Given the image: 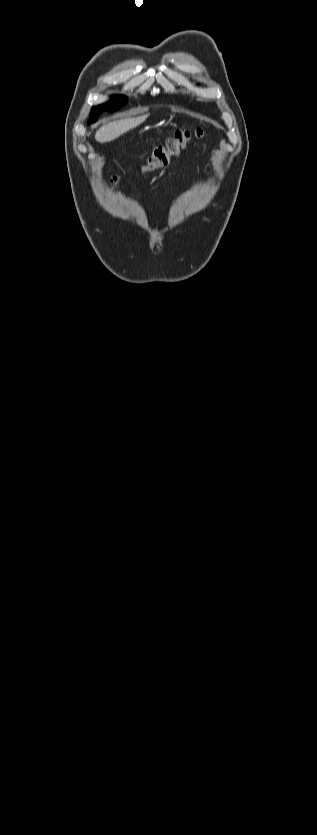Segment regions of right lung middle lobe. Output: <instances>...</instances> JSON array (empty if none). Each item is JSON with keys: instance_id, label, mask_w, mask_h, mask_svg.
Here are the masks:
<instances>
[{"instance_id": "right-lung-middle-lobe-1", "label": "right lung middle lobe", "mask_w": 317, "mask_h": 835, "mask_svg": "<svg viewBox=\"0 0 317 835\" xmlns=\"http://www.w3.org/2000/svg\"><path fill=\"white\" fill-rule=\"evenodd\" d=\"M126 102H127V98L125 96H120L119 95V96H114L113 99L109 103L100 105L98 107H94L92 109L93 118L88 120V124L95 122L96 117L99 115V113L101 111L107 110V111L112 112V111L118 109L119 107L125 105Z\"/></svg>"}]
</instances>
